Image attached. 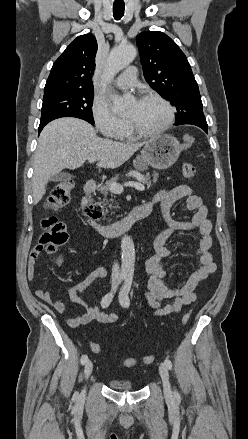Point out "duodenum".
Instances as JSON below:
<instances>
[{
  "label": "duodenum",
  "instance_id": "duodenum-1",
  "mask_svg": "<svg viewBox=\"0 0 248 439\" xmlns=\"http://www.w3.org/2000/svg\"><path fill=\"white\" fill-rule=\"evenodd\" d=\"M96 190V182L94 180H88L83 188V196L80 200V206L88 224L100 235L117 236L128 230L139 220L146 218L151 212V210L144 205L136 206L132 208L125 217L117 222L108 224L99 223L98 219L101 214V209L97 204L91 202V196Z\"/></svg>",
  "mask_w": 248,
  "mask_h": 439
}]
</instances>
